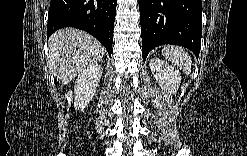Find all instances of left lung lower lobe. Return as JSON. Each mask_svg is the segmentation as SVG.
Instances as JSON below:
<instances>
[{
	"label": "left lung lower lobe",
	"mask_w": 247,
	"mask_h": 156,
	"mask_svg": "<svg viewBox=\"0 0 247 156\" xmlns=\"http://www.w3.org/2000/svg\"><path fill=\"white\" fill-rule=\"evenodd\" d=\"M142 57L162 44L180 45L198 58L202 37L201 0H139Z\"/></svg>",
	"instance_id": "1"
}]
</instances>
